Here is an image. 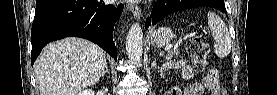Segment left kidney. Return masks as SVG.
<instances>
[{"instance_id": "obj_1", "label": "left kidney", "mask_w": 277, "mask_h": 95, "mask_svg": "<svg viewBox=\"0 0 277 95\" xmlns=\"http://www.w3.org/2000/svg\"><path fill=\"white\" fill-rule=\"evenodd\" d=\"M161 77H163V78H164V73H163V70H162V72H161Z\"/></svg>"}]
</instances>
